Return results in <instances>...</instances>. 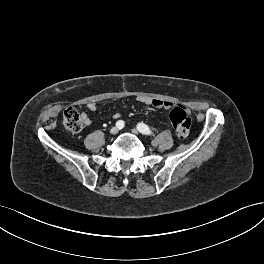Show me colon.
<instances>
[{
  "label": "colon",
  "instance_id": "5ec220e1",
  "mask_svg": "<svg viewBox=\"0 0 264 264\" xmlns=\"http://www.w3.org/2000/svg\"><path fill=\"white\" fill-rule=\"evenodd\" d=\"M172 126L177 136L181 139L189 135L191 127V119L182 106L174 107L169 114ZM63 128L70 133H78L83 128V116L77 108H67L63 113Z\"/></svg>",
  "mask_w": 264,
  "mask_h": 264
}]
</instances>
